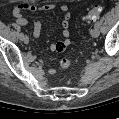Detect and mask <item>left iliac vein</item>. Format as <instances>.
I'll return each mask as SVG.
<instances>
[{"instance_id": "4c4485c4", "label": "left iliac vein", "mask_w": 119, "mask_h": 119, "mask_svg": "<svg viewBox=\"0 0 119 119\" xmlns=\"http://www.w3.org/2000/svg\"><path fill=\"white\" fill-rule=\"evenodd\" d=\"M100 34L99 27L94 26V28L91 31V36L93 38H97Z\"/></svg>"}]
</instances>
